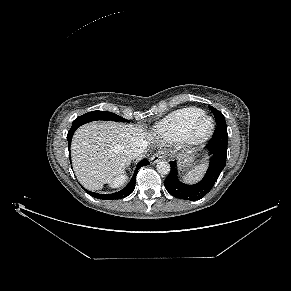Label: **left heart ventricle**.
Instances as JSON below:
<instances>
[{
    "instance_id": "1",
    "label": "left heart ventricle",
    "mask_w": 291,
    "mask_h": 291,
    "mask_svg": "<svg viewBox=\"0 0 291 291\" xmlns=\"http://www.w3.org/2000/svg\"><path fill=\"white\" fill-rule=\"evenodd\" d=\"M208 125V123H205L204 127H206Z\"/></svg>"
}]
</instances>
